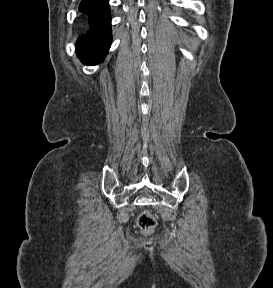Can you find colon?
Segmentation results:
<instances>
[{
  "instance_id": "colon-1",
  "label": "colon",
  "mask_w": 273,
  "mask_h": 288,
  "mask_svg": "<svg viewBox=\"0 0 273 288\" xmlns=\"http://www.w3.org/2000/svg\"><path fill=\"white\" fill-rule=\"evenodd\" d=\"M137 223L142 233L150 234L156 227V218L151 212L143 211L138 216Z\"/></svg>"
}]
</instances>
